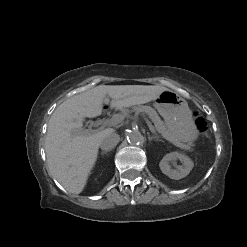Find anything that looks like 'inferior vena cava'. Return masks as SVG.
Returning a JSON list of instances; mask_svg holds the SVG:
<instances>
[{
	"label": "inferior vena cava",
	"mask_w": 247,
	"mask_h": 247,
	"mask_svg": "<svg viewBox=\"0 0 247 247\" xmlns=\"http://www.w3.org/2000/svg\"><path fill=\"white\" fill-rule=\"evenodd\" d=\"M120 141V137L117 133H107L100 141V148L104 151H111Z\"/></svg>",
	"instance_id": "inferior-vena-cava-1"
}]
</instances>
